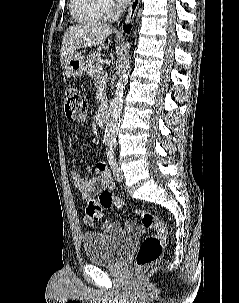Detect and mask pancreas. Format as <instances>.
Listing matches in <instances>:
<instances>
[{
	"label": "pancreas",
	"instance_id": "1",
	"mask_svg": "<svg viewBox=\"0 0 239 303\" xmlns=\"http://www.w3.org/2000/svg\"><path fill=\"white\" fill-rule=\"evenodd\" d=\"M101 53L96 51L93 52L89 57L86 59V72L91 77H97V68L101 66Z\"/></svg>",
	"mask_w": 239,
	"mask_h": 303
}]
</instances>
